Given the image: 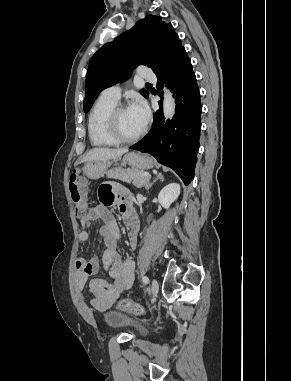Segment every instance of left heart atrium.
<instances>
[{"mask_svg":"<svg viewBox=\"0 0 291 381\" xmlns=\"http://www.w3.org/2000/svg\"><path fill=\"white\" fill-rule=\"evenodd\" d=\"M129 109L137 117L140 124L144 127L147 124L150 116L149 109L145 101L140 97H136L131 103Z\"/></svg>","mask_w":291,"mask_h":381,"instance_id":"39dd6f15","label":"left heart atrium"}]
</instances>
